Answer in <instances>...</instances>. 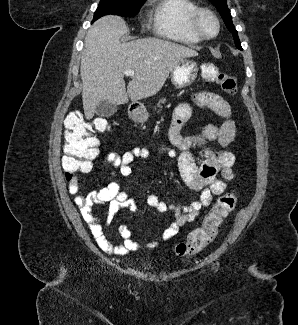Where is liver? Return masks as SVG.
Masks as SVG:
<instances>
[{
  "instance_id": "obj_1",
  "label": "liver",
  "mask_w": 298,
  "mask_h": 325,
  "mask_svg": "<svg viewBox=\"0 0 298 325\" xmlns=\"http://www.w3.org/2000/svg\"><path fill=\"white\" fill-rule=\"evenodd\" d=\"M125 20L115 14L101 16L88 28L82 50L80 76L83 110L93 118L101 100L125 104L153 96L164 86L181 58L198 56L193 46H182L162 38H138L121 42L127 34ZM135 70L127 86L124 70Z\"/></svg>"
}]
</instances>
